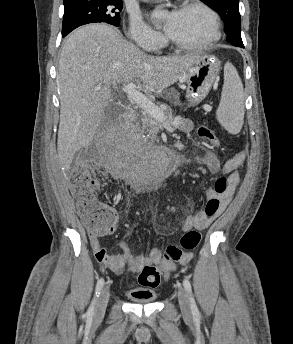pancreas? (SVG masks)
Here are the masks:
<instances>
[{
    "label": "pancreas",
    "instance_id": "pancreas-1",
    "mask_svg": "<svg viewBox=\"0 0 293 344\" xmlns=\"http://www.w3.org/2000/svg\"><path fill=\"white\" fill-rule=\"evenodd\" d=\"M177 98H179V96H177ZM165 117H166V122L168 124L172 123L174 120V117L172 115V111L171 109H166L163 111ZM163 128V124L158 121L157 119L153 118L152 116H150L147 113H143L142 114V118H141V122L137 124L136 126V131L143 133L144 131H151L152 132V139H156V134L157 131ZM179 129H182V124L180 123L178 125ZM123 134H125L124 132H122Z\"/></svg>",
    "mask_w": 293,
    "mask_h": 344
}]
</instances>
